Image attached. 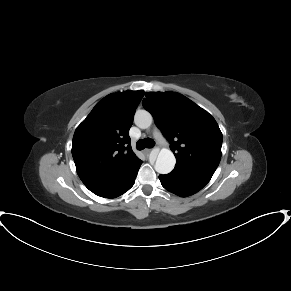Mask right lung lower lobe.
<instances>
[{
  "label": "right lung lower lobe",
  "instance_id": "1",
  "mask_svg": "<svg viewBox=\"0 0 291 291\" xmlns=\"http://www.w3.org/2000/svg\"><path fill=\"white\" fill-rule=\"evenodd\" d=\"M141 164H142V161L137 165L135 170L116 187L99 191V192H95V194L104 198H115L122 195L134 185V182H135V179H136V176Z\"/></svg>",
  "mask_w": 291,
  "mask_h": 291
}]
</instances>
